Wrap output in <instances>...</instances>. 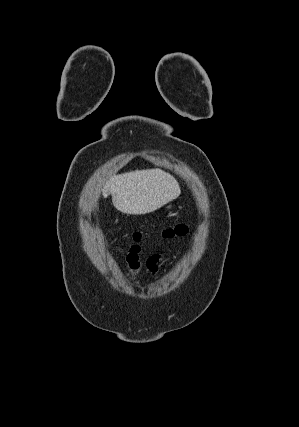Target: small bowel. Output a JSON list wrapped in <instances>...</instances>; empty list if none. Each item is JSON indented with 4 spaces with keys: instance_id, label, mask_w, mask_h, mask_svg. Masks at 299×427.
<instances>
[{
    "instance_id": "c3829d8e",
    "label": "small bowel",
    "mask_w": 299,
    "mask_h": 427,
    "mask_svg": "<svg viewBox=\"0 0 299 427\" xmlns=\"http://www.w3.org/2000/svg\"><path fill=\"white\" fill-rule=\"evenodd\" d=\"M139 254H140V247L138 245H134L130 248V250L126 255V261H127L128 267L132 272L138 271L141 266V263L139 260ZM159 260H160L159 255H153L148 259L146 265L151 272L154 273L157 271V264Z\"/></svg>"
}]
</instances>
